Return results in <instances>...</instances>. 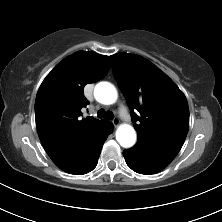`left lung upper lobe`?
<instances>
[{"instance_id": "obj_1", "label": "left lung upper lobe", "mask_w": 222, "mask_h": 222, "mask_svg": "<svg viewBox=\"0 0 222 222\" xmlns=\"http://www.w3.org/2000/svg\"><path fill=\"white\" fill-rule=\"evenodd\" d=\"M110 58L138 133V141L129 151L168 166L189 129L185 95L166 74L141 56L119 53Z\"/></svg>"}]
</instances>
